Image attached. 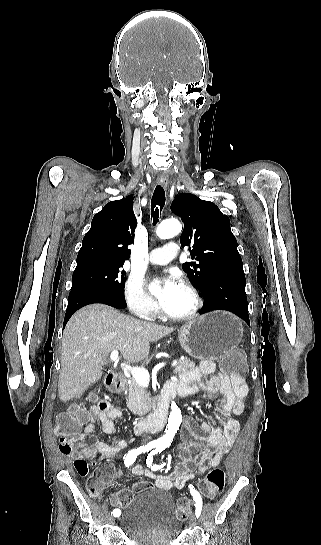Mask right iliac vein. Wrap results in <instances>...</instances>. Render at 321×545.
Instances as JSON below:
<instances>
[{"label": "right iliac vein", "mask_w": 321, "mask_h": 545, "mask_svg": "<svg viewBox=\"0 0 321 545\" xmlns=\"http://www.w3.org/2000/svg\"><path fill=\"white\" fill-rule=\"evenodd\" d=\"M108 521L111 524H113L115 522L114 516H112V514L108 516Z\"/></svg>", "instance_id": "right-iliac-vein-1"}]
</instances>
